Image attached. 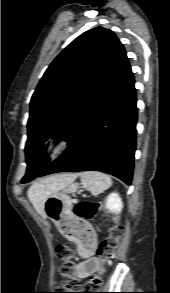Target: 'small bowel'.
Segmentation results:
<instances>
[{
    "label": "small bowel",
    "mask_w": 170,
    "mask_h": 293,
    "mask_svg": "<svg viewBox=\"0 0 170 293\" xmlns=\"http://www.w3.org/2000/svg\"><path fill=\"white\" fill-rule=\"evenodd\" d=\"M70 240L77 245L78 250L83 254H88V250L81 244L80 240L76 237H71ZM100 267V261L97 257L90 256L85 260L79 262L75 266V274L80 278L92 277L97 269Z\"/></svg>",
    "instance_id": "small-bowel-1"
}]
</instances>
